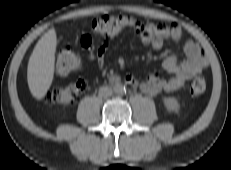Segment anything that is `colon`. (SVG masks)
I'll return each mask as SVG.
<instances>
[{
    "label": "colon",
    "instance_id": "1",
    "mask_svg": "<svg viewBox=\"0 0 231 170\" xmlns=\"http://www.w3.org/2000/svg\"><path fill=\"white\" fill-rule=\"evenodd\" d=\"M125 28L139 30L141 25L138 20L131 16L120 14H105L94 18L90 23L93 33L113 37ZM82 66L81 59L70 46H63L59 49L56 57L55 71L60 76L68 75L79 70ZM85 80L80 79L60 87L50 89L45 99L50 103L60 105H71L77 102L86 91ZM206 90V82L203 77H197L190 86L193 95H200Z\"/></svg>",
    "mask_w": 231,
    "mask_h": 170
}]
</instances>
